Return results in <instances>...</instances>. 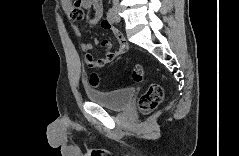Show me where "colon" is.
I'll list each match as a JSON object with an SVG mask.
<instances>
[{"label":"colon","mask_w":239,"mask_h":156,"mask_svg":"<svg viewBox=\"0 0 239 156\" xmlns=\"http://www.w3.org/2000/svg\"><path fill=\"white\" fill-rule=\"evenodd\" d=\"M145 72L141 65H135L132 69V78L135 82L144 80ZM90 84L99 86L100 80L96 74H91ZM163 90L158 84H151L138 100V108L142 113H149L155 110L163 100Z\"/></svg>","instance_id":"1"}]
</instances>
